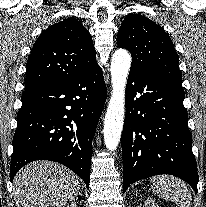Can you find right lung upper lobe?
Here are the masks:
<instances>
[{
  "label": "right lung upper lobe",
  "mask_w": 206,
  "mask_h": 207,
  "mask_svg": "<svg viewBox=\"0 0 206 207\" xmlns=\"http://www.w3.org/2000/svg\"><path fill=\"white\" fill-rule=\"evenodd\" d=\"M95 55L91 35L77 19L58 22L33 45L27 61L25 90L84 75L99 67Z\"/></svg>",
  "instance_id": "cb5924a9"
}]
</instances>
